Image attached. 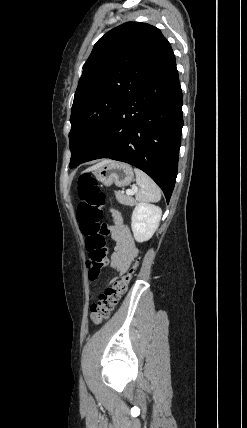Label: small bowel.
<instances>
[{
    "instance_id": "obj_1",
    "label": "small bowel",
    "mask_w": 247,
    "mask_h": 428,
    "mask_svg": "<svg viewBox=\"0 0 247 428\" xmlns=\"http://www.w3.org/2000/svg\"><path fill=\"white\" fill-rule=\"evenodd\" d=\"M112 239L116 242L114 252L111 255V267L118 274H124L132 264L138 254L133 235L131 231L122 224L117 217L116 224L109 229Z\"/></svg>"
}]
</instances>
